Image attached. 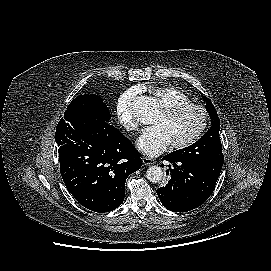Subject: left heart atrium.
<instances>
[{
	"label": "left heart atrium",
	"instance_id": "left-heart-atrium-1",
	"mask_svg": "<svg viewBox=\"0 0 271 271\" xmlns=\"http://www.w3.org/2000/svg\"><path fill=\"white\" fill-rule=\"evenodd\" d=\"M170 145V141L160 125L146 128L137 140L139 151L148 156H157L164 152Z\"/></svg>",
	"mask_w": 271,
	"mask_h": 271
}]
</instances>
